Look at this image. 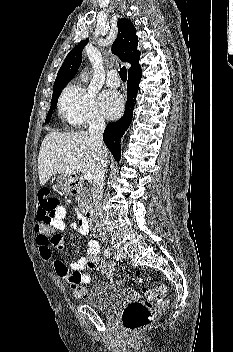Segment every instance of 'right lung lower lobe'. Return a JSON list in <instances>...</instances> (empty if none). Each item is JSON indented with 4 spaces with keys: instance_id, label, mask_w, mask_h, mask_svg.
I'll return each mask as SVG.
<instances>
[{
    "instance_id": "98d812e1",
    "label": "right lung lower lobe",
    "mask_w": 233,
    "mask_h": 352,
    "mask_svg": "<svg viewBox=\"0 0 233 352\" xmlns=\"http://www.w3.org/2000/svg\"><path fill=\"white\" fill-rule=\"evenodd\" d=\"M142 76V71L129 76L127 83V102L123 117L106 126L103 141L107 148L111 151L113 157L118 162L120 161V139L124 134L125 130L131 124L133 117V110L136 103V94L139 89V82Z\"/></svg>"
}]
</instances>
